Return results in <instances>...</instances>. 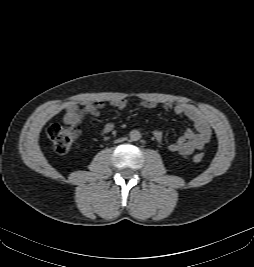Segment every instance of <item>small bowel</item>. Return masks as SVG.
Here are the masks:
<instances>
[{"label": "small bowel", "mask_w": 254, "mask_h": 267, "mask_svg": "<svg viewBox=\"0 0 254 267\" xmlns=\"http://www.w3.org/2000/svg\"><path fill=\"white\" fill-rule=\"evenodd\" d=\"M109 105L118 109H127L130 103L124 99H115L109 102ZM158 103L155 100L147 99L138 103L139 107L152 109ZM107 106L106 102L96 101L93 103H70L65 107L63 120L66 124L79 126L84 117L91 115L98 117L102 109ZM165 111H172L178 116L189 119L193 125L194 130H187L180 138L169 145L171 152H176L181 155H191L194 151L202 149L211 139L212 131L205 116L194 106L191 105H172L166 103L163 105ZM114 124L109 122L101 129L100 134L105 135L111 132ZM157 141H161L162 134L155 132Z\"/></svg>", "instance_id": "obj_1"}]
</instances>
